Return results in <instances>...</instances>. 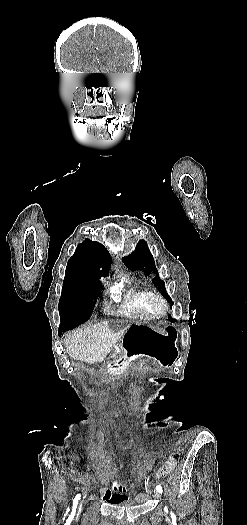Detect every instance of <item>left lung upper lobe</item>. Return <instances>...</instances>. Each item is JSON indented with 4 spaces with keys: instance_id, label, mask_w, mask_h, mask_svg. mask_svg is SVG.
I'll return each mask as SVG.
<instances>
[{
    "instance_id": "obj_1",
    "label": "left lung upper lobe",
    "mask_w": 247,
    "mask_h": 525,
    "mask_svg": "<svg viewBox=\"0 0 247 525\" xmlns=\"http://www.w3.org/2000/svg\"><path fill=\"white\" fill-rule=\"evenodd\" d=\"M123 261L125 264L131 266L133 269L144 270L145 274H150L151 272L156 273V277L152 279L154 285L158 286V290L161 294L173 304L171 298L168 296L165 283L159 278L158 271L155 266V261L153 256L147 246V243L144 240H140L136 246L135 251L130 254L128 257H124ZM171 321H175L172 318H169Z\"/></svg>"
}]
</instances>
